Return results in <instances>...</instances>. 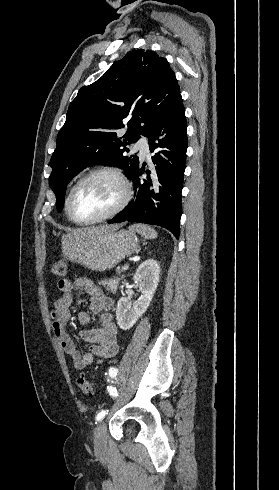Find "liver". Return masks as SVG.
Listing matches in <instances>:
<instances>
[{"instance_id":"liver-1","label":"liver","mask_w":279,"mask_h":490,"mask_svg":"<svg viewBox=\"0 0 279 490\" xmlns=\"http://www.w3.org/2000/svg\"><path fill=\"white\" fill-rule=\"evenodd\" d=\"M119 226H99V228H80V230H73L69 232L67 236H73V238H91V236H100V234H107L111 230H118Z\"/></svg>"}]
</instances>
